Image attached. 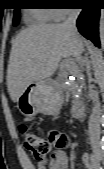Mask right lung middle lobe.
Here are the masks:
<instances>
[{"label":"right lung middle lobe","mask_w":104,"mask_h":169,"mask_svg":"<svg viewBox=\"0 0 104 169\" xmlns=\"http://www.w3.org/2000/svg\"><path fill=\"white\" fill-rule=\"evenodd\" d=\"M13 21H14V25H17L19 21V8L15 9Z\"/></svg>","instance_id":"obj_1"}]
</instances>
